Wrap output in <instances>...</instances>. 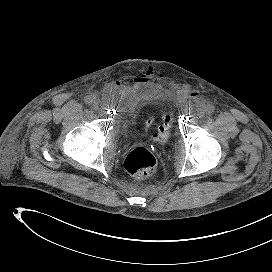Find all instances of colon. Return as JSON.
I'll return each mask as SVG.
<instances>
[{
  "instance_id": "1",
  "label": "colon",
  "mask_w": 272,
  "mask_h": 272,
  "mask_svg": "<svg viewBox=\"0 0 272 272\" xmlns=\"http://www.w3.org/2000/svg\"><path fill=\"white\" fill-rule=\"evenodd\" d=\"M150 123V121H147ZM170 119L165 118L164 124L159 128L156 138L164 140L168 136ZM157 161L153 153L145 147H137L129 152L124 161L125 169L136 177H148L155 171Z\"/></svg>"
}]
</instances>
